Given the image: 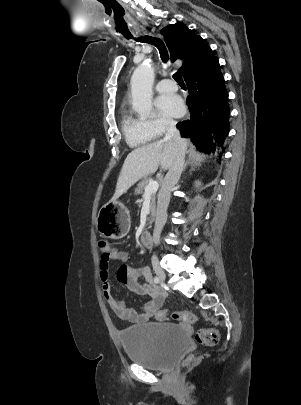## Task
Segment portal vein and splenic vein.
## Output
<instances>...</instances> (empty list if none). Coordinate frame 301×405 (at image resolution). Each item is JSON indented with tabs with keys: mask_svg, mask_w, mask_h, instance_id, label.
Returning a JSON list of instances; mask_svg holds the SVG:
<instances>
[{
	"mask_svg": "<svg viewBox=\"0 0 301 405\" xmlns=\"http://www.w3.org/2000/svg\"><path fill=\"white\" fill-rule=\"evenodd\" d=\"M159 188V183L154 180H149L147 187L145 188V194L156 193Z\"/></svg>",
	"mask_w": 301,
	"mask_h": 405,
	"instance_id": "portal-vein-and-splenic-vein-1",
	"label": "portal vein and splenic vein"
}]
</instances>
